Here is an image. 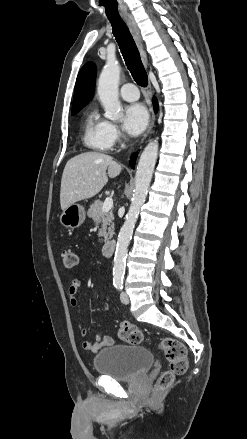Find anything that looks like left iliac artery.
<instances>
[{"label": "left iliac artery", "instance_id": "1", "mask_svg": "<svg viewBox=\"0 0 247 439\" xmlns=\"http://www.w3.org/2000/svg\"><path fill=\"white\" fill-rule=\"evenodd\" d=\"M118 290H122L123 286L122 285H117L116 287Z\"/></svg>", "mask_w": 247, "mask_h": 439}]
</instances>
